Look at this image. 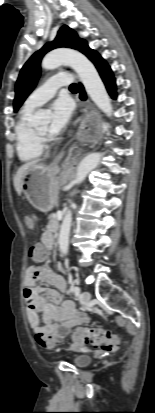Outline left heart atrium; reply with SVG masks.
<instances>
[{
	"label": "left heart atrium",
	"mask_w": 155,
	"mask_h": 413,
	"mask_svg": "<svg viewBox=\"0 0 155 413\" xmlns=\"http://www.w3.org/2000/svg\"><path fill=\"white\" fill-rule=\"evenodd\" d=\"M72 105L66 98H59L51 105V121L48 133L51 136L59 134L69 123L72 116Z\"/></svg>",
	"instance_id": "39dd6f15"
}]
</instances>
